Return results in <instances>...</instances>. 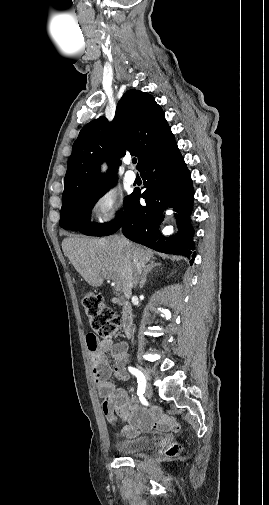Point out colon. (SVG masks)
Listing matches in <instances>:
<instances>
[{"mask_svg": "<svg viewBox=\"0 0 269 505\" xmlns=\"http://www.w3.org/2000/svg\"><path fill=\"white\" fill-rule=\"evenodd\" d=\"M82 307L91 330L90 336L103 339L117 336L120 318L111 308L105 306L101 296L93 292H87L82 298ZM179 449L178 445H173L167 454L175 456Z\"/></svg>", "mask_w": 269, "mask_h": 505, "instance_id": "1", "label": "colon"}]
</instances>
